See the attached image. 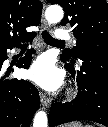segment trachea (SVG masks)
Wrapping results in <instances>:
<instances>
[{"label": "trachea", "mask_w": 108, "mask_h": 127, "mask_svg": "<svg viewBox=\"0 0 108 127\" xmlns=\"http://www.w3.org/2000/svg\"><path fill=\"white\" fill-rule=\"evenodd\" d=\"M42 37L47 44H64L65 42L62 40H57L53 38L47 31L42 32Z\"/></svg>", "instance_id": "3493384b"}]
</instances>
